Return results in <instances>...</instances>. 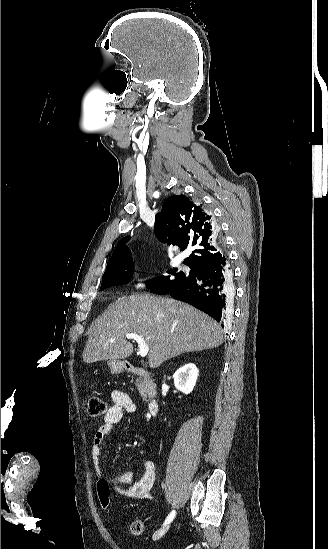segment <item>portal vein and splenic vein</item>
<instances>
[{"mask_svg": "<svg viewBox=\"0 0 328 549\" xmlns=\"http://www.w3.org/2000/svg\"><path fill=\"white\" fill-rule=\"evenodd\" d=\"M126 339H133V341H136L138 343L139 347V353L140 357H146L149 347L146 345V341L142 339V337H139V335H136V333H129V335H126ZM109 343H115V341H109Z\"/></svg>", "mask_w": 328, "mask_h": 549, "instance_id": "obj_1", "label": "portal vein and splenic vein"}]
</instances>
